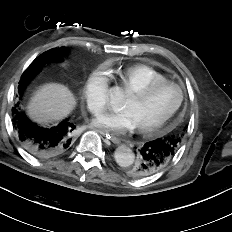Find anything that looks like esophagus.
<instances>
[{"instance_id":"esophagus-1","label":"esophagus","mask_w":232,"mask_h":232,"mask_svg":"<svg viewBox=\"0 0 232 232\" xmlns=\"http://www.w3.org/2000/svg\"><path fill=\"white\" fill-rule=\"evenodd\" d=\"M94 130L103 135L107 141H112L113 143H119L120 141L118 138L112 137L109 133L102 129L94 128Z\"/></svg>"}]
</instances>
